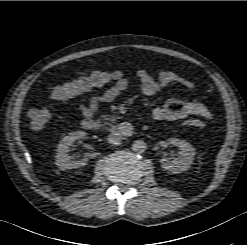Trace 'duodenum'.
Returning <instances> with one entry per match:
<instances>
[{"label":"duodenum","instance_id":"duodenum-1","mask_svg":"<svg viewBox=\"0 0 247 245\" xmlns=\"http://www.w3.org/2000/svg\"><path fill=\"white\" fill-rule=\"evenodd\" d=\"M82 126L86 130L94 131L99 129L102 124L99 121L86 118L82 121ZM110 131L113 136L122 139L132 135L133 127L131 124L123 122L116 126L110 127Z\"/></svg>","mask_w":247,"mask_h":245}]
</instances>
